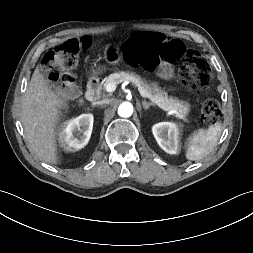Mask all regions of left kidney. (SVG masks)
<instances>
[{
  "mask_svg": "<svg viewBox=\"0 0 253 253\" xmlns=\"http://www.w3.org/2000/svg\"><path fill=\"white\" fill-rule=\"evenodd\" d=\"M152 133L159 146L169 154H176L179 150V130L176 124L161 122L152 127Z\"/></svg>",
  "mask_w": 253,
  "mask_h": 253,
  "instance_id": "1",
  "label": "left kidney"
}]
</instances>
